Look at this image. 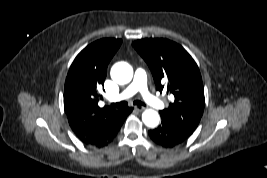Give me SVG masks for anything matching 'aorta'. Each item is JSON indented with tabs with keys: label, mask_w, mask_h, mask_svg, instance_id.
Instances as JSON below:
<instances>
[{
	"label": "aorta",
	"mask_w": 267,
	"mask_h": 178,
	"mask_svg": "<svg viewBox=\"0 0 267 178\" xmlns=\"http://www.w3.org/2000/svg\"><path fill=\"white\" fill-rule=\"evenodd\" d=\"M110 74L118 84H127L132 80L133 68L126 62H118L112 66ZM142 121L147 127L154 128L159 124L160 116L155 110L146 109L142 113Z\"/></svg>",
	"instance_id": "obj_1"
}]
</instances>
